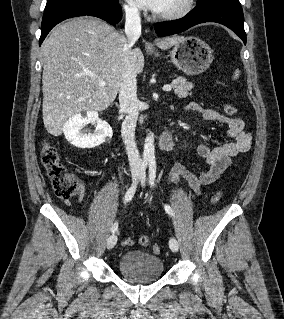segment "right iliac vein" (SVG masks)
I'll use <instances>...</instances> for the list:
<instances>
[{
	"instance_id": "right-iliac-vein-1",
	"label": "right iliac vein",
	"mask_w": 284,
	"mask_h": 319,
	"mask_svg": "<svg viewBox=\"0 0 284 319\" xmlns=\"http://www.w3.org/2000/svg\"><path fill=\"white\" fill-rule=\"evenodd\" d=\"M137 177H138V172L134 171L132 174L133 182L136 181ZM116 243H117V235L112 234L107 240V248L112 249L116 245Z\"/></svg>"
}]
</instances>
